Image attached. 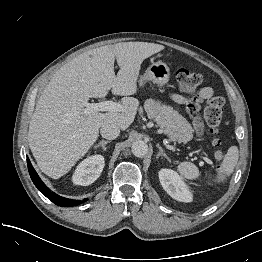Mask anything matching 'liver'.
Here are the masks:
<instances>
[{
  "instance_id": "liver-1",
  "label": "liver",
  "mask_w": 262,
  "mask_h": 262,
  "mask_svg": "<svg viewBox=\"0 0 262 262\" xmlns=\"http://www.w3.org/2000/svg\"><path fill=\"white\" fill-rule=\"evenodd\" d=\"M163 45L124 42L106 45L78 55L64 64L42 92L32 115L28 142L40 170L58 179L68 173L96 142L104 124L126 130L134 121L142 62L162 51ZM120 70L114 72V61ZM112 90L125 96L123 112L85 113L90 98L105 97Z\"/></svg>"
}]
</instances>
